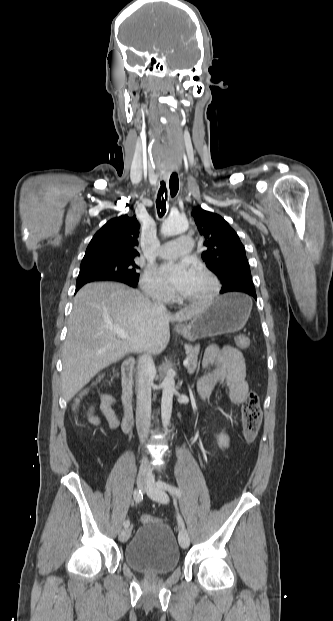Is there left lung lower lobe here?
Wrapping results in <instances>:
<instances>
[{"mask_svg": "<svg viewBox=\"0 0 333 621\" xmlns=\"http://www.w3.org/2000/svg\"><path fill=\"white\" fill-rule=\"evenodd\" d=\"M230 292L246 293V294L250 295L251 297H253L254 299H257L255 288H252V287H235V288H232L230 290L221 292V294L230 293Z\"/></svg>", "mask_w": 333, "mask_h": 621, "instance_id": "0a47b994", "label": "left lung lower lobe"}]
</instances>
